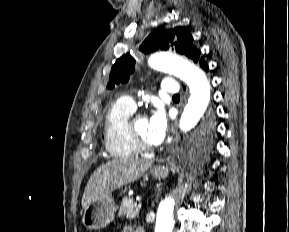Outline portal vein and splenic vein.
<instances>
[{
    "label": "portal vein and splenic vein",
    "instance_id": "1",
    "mask_svg": "<svg viewBox=\"0 0 289 232\" xmlns=\"http://www.w3.org/2000/svg\"><path fill=\"white\" fill-rule=\"evenodd\" d=\"M136 201L141 202V197L137 196Z\"/></svg>",
    "mask_w": 289,
    "mask_h": 232
}]
</instances>
